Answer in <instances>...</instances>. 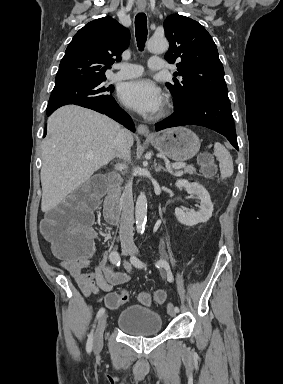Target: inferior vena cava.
<instances>
[{
	"instance_id": "inferior-vena-cava-1",
	"label": "inferior vena cava",
	"mask_w": 283,
	"mask_h": 384,
	"mask_svg": "<svg viewBox=\"0 0 283 384\" xmlns=\"http://www.w3.org/2000/svg\"><path fill=\"white\" fill-rule=\"evenodd\" d=\"M128 130H120L114 142L117 158L129 162L130 146ZM121 220H120V240L122 248H135L133 242V224H134V204L132 198V180L125 184L124 192L121 196Z\"/></svg>"
}]
</instances>
